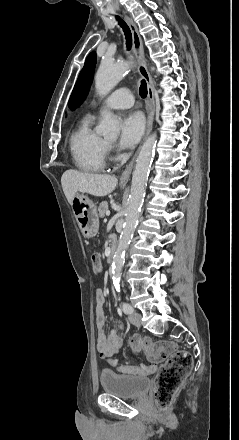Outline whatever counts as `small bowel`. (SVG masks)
I'll list each match as a JSON object with an SVG mask.
<instances>
[{
    "label": "small bowel",
    "instance_id": "c3829d8e",
    "mask_svg": "<svg viewBox=\"0 0 239 440\" xmlns=\"http://www.w3.org/2000/svg\"><path fill=\"white\" fill-rule=\"evenodd\" d=\"M97 303L96 307V325H97V348L100 352V356L109 361L114 360L113 356L119 353L123 345L121 335L117 330H112L109 335L106 334L104 329L105 324V311H104V293L102 289H97L95 294ZM118 325V322H116Z\"/></svg>",
    "mask_w": 239,
    "mask_h": 440
}]
</instances>
